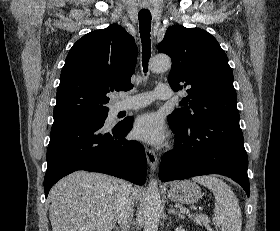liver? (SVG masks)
I'll use <instances>...</instances> for the list:
<instances>
[{
	"label": "liver",
	"instance_id": "6515ba94",
	"mask_svg": "<svg viewBox=\"0 0 280 231\" xmlns=\"http://www.w3.org/2000/svg\"><path fill=\"white\" fill-rule=\"evenodd\" d=\"M121 181L88 171H74L60 179L49 193L53 231H111L117 221ZM141 195V187H133L134 199L139 201Z\"/></svg>",
	"mask_w": 280,
	"mask_h": 231
}]
</instances>
